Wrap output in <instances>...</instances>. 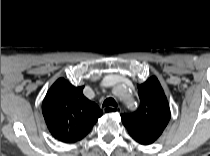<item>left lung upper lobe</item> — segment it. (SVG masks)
Segmentation results:
<instances>
[{
    "label": "left lung upper lobe",
    "mask_w": 210,
    "mask_h": 156,
    "mask_svg": "<svg viewBox=\"0 0 210 156\" xmlns=\"http://www.w3.org/2000/svg\"><path fill=\"white\" fill-rule=\"evenodd\" d=\"M140 107L121 119L131 137L138 143L149 145L163 133L170 120V108L164 91L156 77L138 85Z\"/></svg>",
    "instance_id": "obj_1"
}]
</instances>
